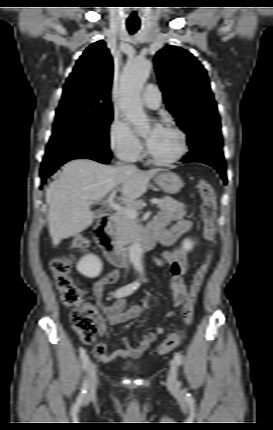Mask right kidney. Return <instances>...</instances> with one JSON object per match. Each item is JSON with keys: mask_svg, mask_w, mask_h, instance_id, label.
<instances>
[{"mask_svg": "<svg viewBox=\"0 0 273 430\" xmlns=\"http://www.w3.org/2000/svg\"><path fill=\"white\" fill-rule=\"evenodd\" d=\"M76 268L83 276L96 278L102 271V262L96 255L88 254L81 258Z\"/></svg>", "mask_w": 273, "mask_h": 430, "instance_id": "obj_1", "label": "right kidney"}]
</instances>
